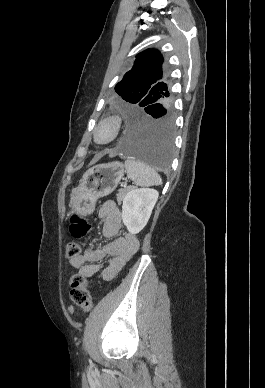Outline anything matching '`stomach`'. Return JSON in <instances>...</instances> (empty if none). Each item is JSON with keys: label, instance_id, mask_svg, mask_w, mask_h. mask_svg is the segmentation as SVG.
Masks as SVG:
<instances>
[{"label": "stomach", "instance_id": "1", "mask_svg": "<svg viewBox=\"0 0 265 388\" xmlns=\"http://www.w3.org/2000/svg\"><path fill=\"white\" fill-rule=\"evenodd\" d=\"M124 165L118 161L88 169L79 185L72 189L69 206L72 213L90 214L96 201L112 193L124 176Z\"/></svg>", "mask_w": 265, "mask_h": 388}]
</instances>
